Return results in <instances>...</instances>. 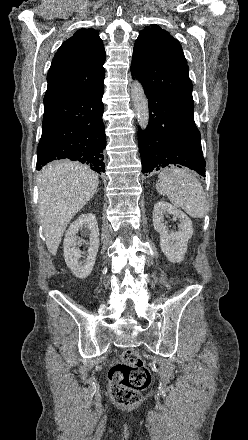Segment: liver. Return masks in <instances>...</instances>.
Segmentation results:
<instances>
[{
	"label": "liver",
	"mask_w": 248,
	"mask_h": 440,
	"mask_svg": "<svg viewBox=\"0 0 248 440\" xmlns=\"http://www.w3.org/2000/svg\"><path fill=\"white\" fill-rule=\"evenodd\" d=\"M98 184V175L79 162L54 161L40 171L39 216L52 255H56L67 225L94 196Z\"/></svg>",
	"instance_id": "6515ba94"
}]
</instances>
